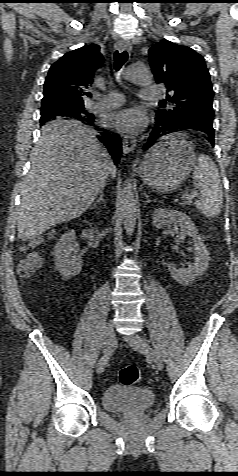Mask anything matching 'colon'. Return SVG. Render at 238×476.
Returning a JSON list of instances; mask_svg holds the SVG:
<instances>
[{
	"instance_id": "colon-1",
	"label": "colon",
	"mask_w": 238,
	"mask_h": 476,
	"mask_svg": "<svg viewBox=\"0 0 238 476\" xmlns=\"http://www.w3.org/2000/svg\"><path fill=\"white\" fill-rule=\"evenodd\" d=\"M39 263L40 258L38 255L33 253L29 254L19 266L20 275L24 278L29 277L37 268ZM141 378V370L135 365L126 366L117 372V380L123 385L134 386L141 381Z\"/></svg>"
}]
</instances>
